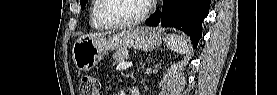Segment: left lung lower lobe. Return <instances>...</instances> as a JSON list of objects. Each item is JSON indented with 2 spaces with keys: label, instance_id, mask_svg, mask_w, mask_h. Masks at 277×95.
<instances>
[{
  "label": "left lung lower lobe",
  "instance_id": "0a47b994",
  "mask_svg": "<svg viewBox=\"0 0 277 95\" xmlns=\"http://www.w3.org/2000/svg\"><path fill=\"white\" fill-rule=\"evenodd\" d=\"M211 0H163V7L145 24L174 27L190 36L194 48L202 36V21L209 13Z\"/></svg>",
  "mask_w": 277,
  "mask_h": 95
}]
</instances>
